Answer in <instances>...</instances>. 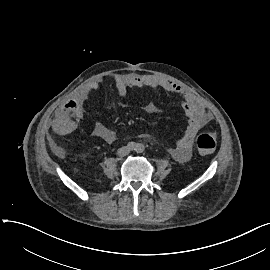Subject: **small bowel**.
Here are the masks:
<instances>
[{"mask_svg": "<svg viewBox=\"0 0 270 270\" xmlns=\"http://www.w3.org/2000/svg\"><path fill=\"white\" fill-rule=\"evenodd\" d=\"M113 80L121 99L127 97L130 89L144 87L176 94L182 98V108L188 119L187 126L183 135L170 148V154L178 162L187 161L191 156L193 142L197 133L213 119L202 102L173 81L152 74H118L113 77ZM98 87V82H90L75 99L69 100L64 105V110L69 112L71 117L65 121L63 128L60 130L62 134H67L76 129L77 122L83 117L85 102ZM144 110L149 114L158 112L157 106L153 103L147 104ZM92 133L107 143L115 142L118 137L114 129L101 123H97L93 127Z\"/></svg>", "mask_w": 270, "mask_h": 270, "instance_id": "obj_1", "label": "small bowel"}]
</instances>
